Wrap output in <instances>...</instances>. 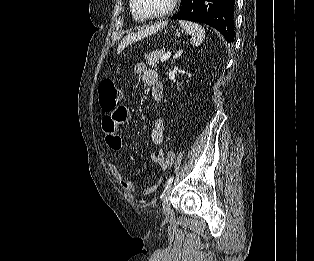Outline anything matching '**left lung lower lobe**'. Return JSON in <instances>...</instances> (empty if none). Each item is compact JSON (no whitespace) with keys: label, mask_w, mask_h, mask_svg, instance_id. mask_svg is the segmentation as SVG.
Listing matches in <instances>:
<instances>
[{"label":"left lung lower lobe","mask_w":314,"mask_h":261,"mask_svg":"<svg viewBox=\"0 0 314 261\" xmlns=\"http://www.w3.org/2000/svg\"><path fill=\"white\" fill-rule=\"evenodd\" d=\"M235 0H182L172 20H189L217 29L228 42L234 41Z\"/></svg>","instance_id":"obj_1"}]
</instances>
